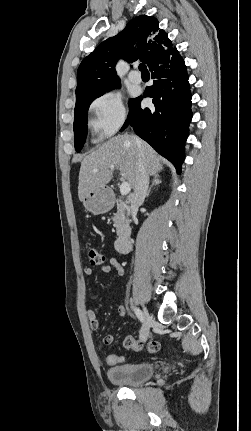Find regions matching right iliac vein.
Segmentation results:
<instances>
[{"label":"right iliac vein","mask_w":251,"mask_h":431,"mask_svg":"<svg viewBox=\"0 0 251 431\" xmlns=\"http://www.w3.org/2000/svg\"><path fill=\"white\" fill-rule=\"evenodd\" d=\"M144 321L141 330V340L146 341L150 334L151 317L145 307H143Z\"/></svg>","instance_id":"right-iliac-vein-1"}]
</instances>
